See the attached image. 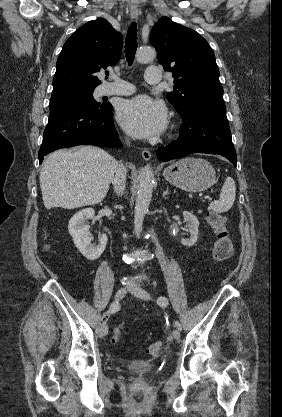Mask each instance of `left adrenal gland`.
Instances as JSON below:
<instances>
[{
    "instance_id": "obj_1",
    "label": "left adrenal gland",
    "mask_w": 282,
    "mask_h": 417,
    "mask_svg": "<svg viewBox=\"0 0 282 417\" xmlns=\"http://www.w3.org/2000/svg\"><path fill=\"white\" fill-rule=\"evenodd\" d=\"M168 190H169V186H166V190H164L163 196H165V194H169Z\"/></svg>"
}]
</instances>
